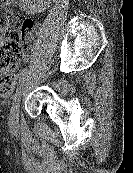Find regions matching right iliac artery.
Returning a JSON list of instances; mask_svg holds the SVG:
<instances>
[{
	"mask_svg": "<svg viewBox=\"0 0 133 173\" xmlns=\"http://www.w3.org/2000/svg\"><path fill=\"white\" fill-rule=\"evenodd\" d=\"M27 75V69H24L20 72L19 76H18V80L19 82L24 80L25 76Z\"/></svg>",
	"mask_w": 133,
	"mask_h": 173,
	"instance_id": "82829eb1",
	"label": "right iliac artery"
}]
</instances>
